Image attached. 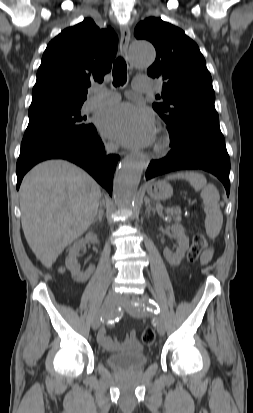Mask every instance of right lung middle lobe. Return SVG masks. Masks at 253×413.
<instances>
[{
	"label": "right lung middle lobe",
	"mask_w": 253,
	"mask_h": 413,
	"mask_svg": "<svg viewBox=\"0 0 253 413\" xmlns=\"http://www.w3.org/2000/svg\"><path fill=\"white\" fill-rule=\"evenodd\" d=\"M81 106L58 107L29 112V124L21 147L53 138L88 132L94 125L86 122V116H81Z\"/></svg>",
	"instance_id": "obj_1"
}]
</instances>
